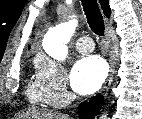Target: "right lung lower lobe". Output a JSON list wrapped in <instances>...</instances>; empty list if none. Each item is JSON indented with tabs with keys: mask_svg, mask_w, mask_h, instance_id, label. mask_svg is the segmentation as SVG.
Masks as SVG:
<instances>
[{
	"mask_svg": "<svg viewBox=\"0 0 142 119\" xmlns=\"http://www.w3.org/2000/svg\"><path fill=\"white\" fill-rule=\"evenodd\" d=\"M103 103V96L97 95L90 99L89 102L81 103L79 107V117L80 119H94L99 113V110Z\"/></svg>",
	"mask_w": 142,
	"mask_h": 119,
	"instance_id": "right-lung-lower-lobe-1",
	"label": "right lung lower lobe"
}]
</instances>
